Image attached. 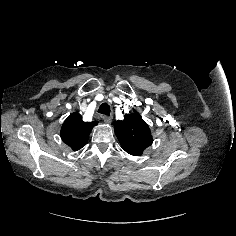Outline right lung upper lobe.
<instances>
[{
    "instance_id": "1",
    "label": "right lung upper lobe",
    "mask_w": 236,
    "mask_h": 236,
    "mask_svg": "<svg viewBox=\"0 0 236 236\" xmlns=\"http://www.w3.org/2000/svg\"><path fill=\"white\" fill-rule=\"evenodd\" d=\"M98 122H84L78 113H72L63 123L60 136L62 141L74 151L81 149L87 144L92 128Z\"/></svg>"
}]
</instances>
